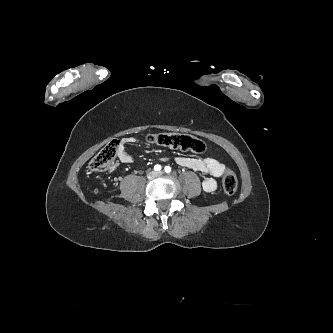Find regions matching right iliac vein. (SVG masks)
<instances>
[{
  "label": "right iliac vein",
  "instance_id": "63e3f726",
  "mask_svg": "<svg viewBox=\"0 0 333 333\" xmlns=\"http://www.w3.org/2000/svg\"><path fill=\"white\" fill-rule=\"evenodd\" d=\"M155 176H156V173L153 171L148 174L149 179H153V178H155Z\"/></svg>",
  "mask_w": 333,
  "mask_h": 333
}]
</instances>
